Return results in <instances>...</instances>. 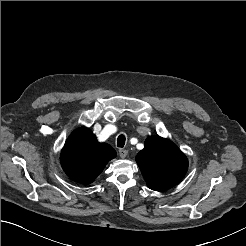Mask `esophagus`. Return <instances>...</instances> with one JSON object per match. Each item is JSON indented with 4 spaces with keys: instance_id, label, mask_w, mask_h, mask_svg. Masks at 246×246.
<instances>
[{
    "instance_id": "34e87169",
    "label": "esophagus",
    "mask_w": 246,
    "mask_h": 246,
    "mask_svg": "<svg viewBox=\"0 0 246 246\" xmlns=\"http://www.w3.org/2000/svg\"><path fill=\"white\" fill-rule=\"evenodd\" d=\"M128 155V151L126 149H119V156L121 158H126Z\"/></svg>"
}]
</instances>
